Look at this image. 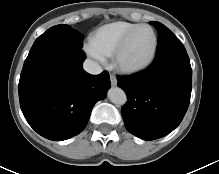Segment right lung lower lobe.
Listing matches in <instances>:
<instances>
[{
  "instance_id": "98d812e1",
  "label": "right lung lower lobe",
  "mask_w": 219,
  "mask_h": 174,
  "mask_svg": "<svg viewBox=\"0 0 219 174\" xmlns=\"http://www.w3.org/2000/svg\"><path fill=\"white\" fill-rule=\"evenodd\" d=\"M85 58L79 48L58 45L25 60L18 86L20 106L41 136L61 141L79 134L95 103L106 97L108 72L86 73Z\"/></svg>"
}]
</instances>
